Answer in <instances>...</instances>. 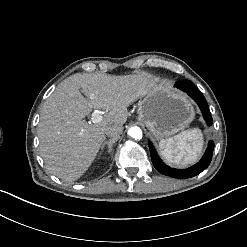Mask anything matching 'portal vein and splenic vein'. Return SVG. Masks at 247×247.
Here are the masks:
<instances>
[{"label": "portal vein and splenic vein", "instance_id": "18ae733b", "mask_svg": "<svg viewBox=\"0 0 247 247\" xmlns=\"http://www.w3.org/2000/svg\"><path fill=\"white\" fill-rule=\"evenodd\" d=\"M93 123H99L103 120V115L100 112H93L92 113V118H91Z\"/></svg>", "mask_w": 247, "mask_h": 247}]
</instances>
